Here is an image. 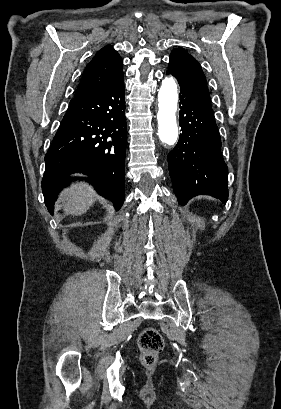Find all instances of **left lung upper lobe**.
<instances>
[{"instance_id": "1", "label": "left lung upper lobe", "mask_w": 281, "mask_h": 409, "mask_svg": "<svg viewBox=\"0 0 281 409\" xmlns=\"http://www.w3.org/2000/svg\"><path fill=\"white\" fill-rule=\"evenodd\" d=\"M167 72L172 74L180 85H184L199 94L202 98L210 100V94L203 71L197 60L185 50L179 48L171 52Z\"/></svg>"}]
</instances>
